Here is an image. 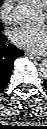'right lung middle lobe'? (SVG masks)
Instances as JSON below:
<instances>
[{"label":"right lung middle lobe","instance_id":"right-lung-middle-lobe-1","mask_svg":"<svg viewBox=\"0 0 47 129\" xmlns=\"http://www.w3.org/2000/svg\"><path fill=\"white\" fill-rule=\"evenodd\" d=\"M2 0H0V2H1ZM0 27H2V25L0 24Z\"/></svg>","mask_w":47,"mask_h":129}]
</instances>
